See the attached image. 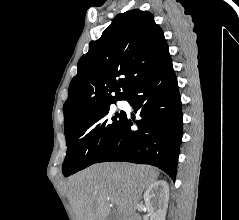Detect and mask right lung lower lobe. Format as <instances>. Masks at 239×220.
Listing matches in <instances>:
<instances>
[{"label": "right lung lower lobe", "mask_w": 239, "mask_h": 220, "mask_svg": "<svg viewBox=\"0 0 239 220\" xmlns=\"http://www.w3.org/2000/svg\"><path fill=\"white\" fill-rule=\"evenodd\" d=\"M125 100L139 112L141 120L132 122L126 115L121 128L95 163L151 164L175 180L183 127L172 60L141 81ZM133 123L138 126L136 131L130 129Z\"/></svg>", "instance_id": "98d812e1"}]
</instances>
